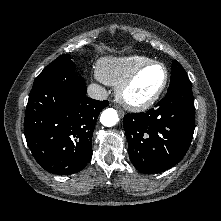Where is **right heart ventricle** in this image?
Instances as JSON below:
<instances>
[{
  "label": "right heart ventricle",
  "mask_w": 221,
  "mask_h": 221,
  "mask_svg": "<svg viewBox=\"0 0 221 221\" xmlns=\"http://www.w3.org/2000/svg\"><path fill=\"white\" fill-rule=\"evenodd\" d=\"M152 61L143 55L104 57L98 62L97 74L101 81L111 86H119L138 67Z\"/></svg>",
  "instance_id": "1"
}]
</instances>
